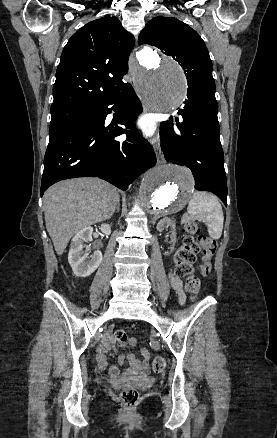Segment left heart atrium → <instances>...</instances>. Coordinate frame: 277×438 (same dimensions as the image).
I'll return each instance as SVG.
<instances>
[{"label": "left heart atrium", "mask_w": 277, "mask_h": 438, "mask_svg": "<svg viewBox=\"0 0 277 438\" xmlns=\"http://www.w3.org/2000/svg\"><path fill=\"white\" fill-rule=\"evenodd\" d=\"M141 125L147 130L151 128V122L148 119H143Z\"/></svg>", "instance_id": "obj_1"}]
</instances>
